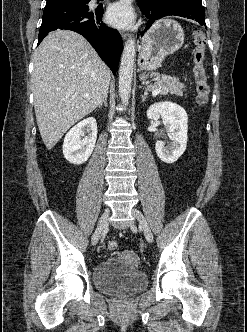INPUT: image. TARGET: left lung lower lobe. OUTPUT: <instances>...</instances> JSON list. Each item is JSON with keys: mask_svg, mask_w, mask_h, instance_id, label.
<instances>
[{"mask_svg": "<svg viewBox=\"0 0 247 332\" xmlns=\"http://www.w3.org/2000/svg\"><path fill=\"white\" fill-rule=\"evenodd\" d=\"M146 18L149 19L146 25L147 30L152 23L166 16H180L205 25V11L201 4L187 2H171L158 6H139Z\"/></svg>", "mask_w": 247, "mask_h": 332, "instance_id": "left-lung-lower-lobe-1", "label": "left lung lower lobe"}]
</instances>
